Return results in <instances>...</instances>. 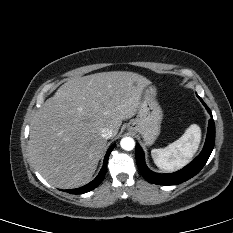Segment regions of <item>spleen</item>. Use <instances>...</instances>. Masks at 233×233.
I'll list each match as a JSON object with an SVG mask.
<instances>
[{
  "label": "spleen",
  "mask_w": 233,
  "mask_h": 233,
  "mask_svg": "<svg viewBox=\"0 0 233 233\" xmlns=\"http://www.w3.org/2000/svg\"><path fill=\"white\" fill-rule=\"evenodd\" d=\"M201 140V130L196 124L190 125L185 133L165 148L151 151L158 168L172 172L185 166L197 152Z\"/></svg>",
  "instance_id": "3e777b00"
}]
</instances>
